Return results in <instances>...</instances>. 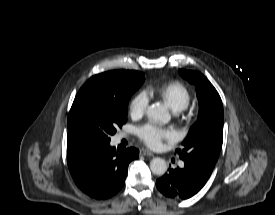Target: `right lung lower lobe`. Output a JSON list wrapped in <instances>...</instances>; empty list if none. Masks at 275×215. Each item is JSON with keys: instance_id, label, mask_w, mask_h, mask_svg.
<instances>
[{"instance_id": "right-lung-lower-lobe-1", "label": "right lung lower lobe", "mask_w": 275, "mask_h": 215, "mask_svg": "<svg viewBox=\"0 0 275 215\" xmlns=\"http://www.w3.org/2000/svg\"><path fill=\"white\" fill-rule=\"evenodd\" d=\"M139 150L128 148L117 153L110 142L67 146L69 171L76 185L95 199L115 195L125 184L129 163Z\"/></svg>"}]
</instances>
